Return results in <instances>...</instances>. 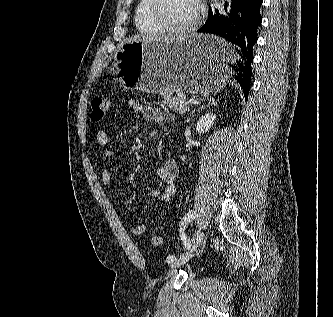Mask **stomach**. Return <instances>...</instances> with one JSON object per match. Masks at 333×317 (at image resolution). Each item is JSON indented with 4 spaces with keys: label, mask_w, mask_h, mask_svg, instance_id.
Segmentation results:
<instances>
[{
    "label": "stomach",
    "mask_w": 333,
    "mask_h": 317,
    "mask_svg": "<svg viewBox=\"0 0 333 317\" xmlns=\"http://www.w3.org/2000/svg\"><path fill=\"white\" fill-rule=\"evenodd\" d=\"M223 33L193 34L173 41H125L116 53L114 72L129 90L157 94L218 93L233 88L225 62H238L236 46Z\"/></svg>",
    "instance_id": "stomach-1"
}]
</instances>
